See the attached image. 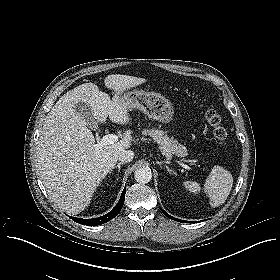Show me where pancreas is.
Wrapping results in <instances>:
<instances>
[{"label":"pancreas","mask_w":280,"mask_h":280,"mask_svg":"<svg viewBox=\"0 0 280 280\" xmlns=\"http://www.w3.org/2000/svg\"><path fill=\"white\" fill-rule=\"evenodd\" d=\"M143 135H149L155 142L159 144L160 151L165 156L175 155L185 157L187 149L184 145L178 143L177 140L170 139L166 134L156 129H145Z\"/></svg>","instance_id":"1"}]
</instances>
